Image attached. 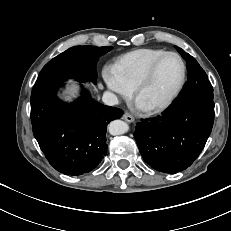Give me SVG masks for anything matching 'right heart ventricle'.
Returning a JSON list of instances; mask_svg holds the SVG:
<instances>
[{
	"mask_svg": "<svg viewBox=\"0 0 231 231\" xmlns=\"http://www.w3.org/2000/svg\"><path fill=\"white\" fill-rule=\"evenodd\" d=\"M165 52L167 51L159 48L136 49L118 57L112 64V69L132 89L151 63Z\"/></svg>",
	"mask_w": 231,
	"mask_h": 231,
	"instance_id": "right-heart-ventricle-1",
	"label": "right heart ventricle"
}]
</instances>
